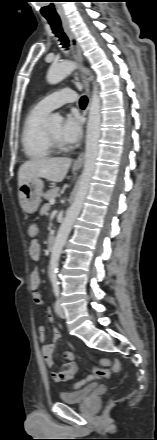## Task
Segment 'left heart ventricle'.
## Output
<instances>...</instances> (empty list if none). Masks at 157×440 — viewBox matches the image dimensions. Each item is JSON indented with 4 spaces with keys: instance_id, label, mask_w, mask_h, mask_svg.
<instances>
[{
    "instance_id": "obj_1",
    "label": "left heart ventricle",
    "mask_w": 157,
    "mask_h": 440,
    "mask_svg": "<svg viewBox=\"0 0 157 440\" xmlns=\"http://www.w3.org/2000/svg\"><path fill=\"white\" fill-rule=\"evenodd\" d=\"M48 130L52 134V136H54L58 140H61V137H60L61 128L59 125L50 127V128H48Z\"/></svg>"
}]
</instances>
